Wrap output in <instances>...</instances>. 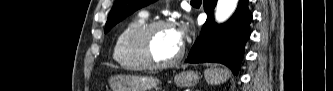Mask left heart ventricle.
<instances>
[{
  "label": "left heart ventricle",
  "mask_w": 333,
  "mask_h": 91,
  "mask_svg": "<svg viewBox=\"0 0 333 91\" xmlns=\"http://www.w3.org/2000/svg\"><path fill=\"white\" fill-rule=\"evenodd\" d=\"M178 43L173 28H160L150 39V54L155 61H169L179 52Z\"/></svg>",
  "instance_id": "obj_1"
}]
</instances>
